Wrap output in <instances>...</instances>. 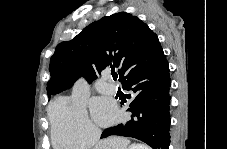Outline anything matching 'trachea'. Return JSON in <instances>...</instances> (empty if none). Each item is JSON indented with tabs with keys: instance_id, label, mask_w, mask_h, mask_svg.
Wrapping results in <instances>:
<instances>
[{
	"instance_id": "trachea-1",
	"label": "trachea",
	"mask_w": 227,
	"mask_h": 149,
	"mask_svg": "<svg viewBox=\"0 0 227 149\" xmlns=\"http://www.w3.org/2000/svg\"><path fill=\"white\" fill-rule=\"evenodd\" d=\"M112 77H113V79L116 81L117 78H118V75H117L116 73H113V74H112Z\"/></svg>"
}]
</instances>
